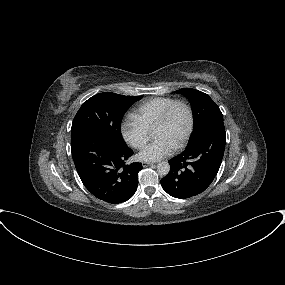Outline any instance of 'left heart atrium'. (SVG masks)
I'll return each mask as SVG.
<instances>
[{
	"label": "left heart atrium",
	"mask_w": 285,
	"mask_h": 285,
	"mask_svg": "<svg viewBox=\"0 0 285 285\" xmlns=\"http://www.w3.org/2000/svg\"><path fill=\"white\" fill-rule=\"evenodd\" d=\"M174 148L175 146L166 138L155 137L141 150L138 157L140 160L153 162L168 156Z\"/></svg>",
	"instance_id": "left-heart-atrium-1"
}]
</instances>
